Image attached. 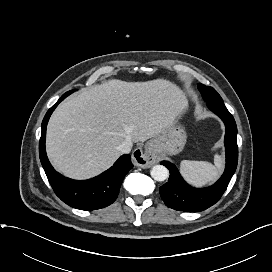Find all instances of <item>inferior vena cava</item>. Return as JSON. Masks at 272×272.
Masks as SVG:
<instances>
[{"label": "inferior vena cava", "instance_id": "1", "mask_svg": "<svg viewBox=\"0 0 272 272\" xmlns=\"http://www.w3.org/2000/svg\"><path fill=\"white\" fill-rule=\"evenodd\" d=\"M132 141L131 140H124L118 147V151L121 154H128L130 153L131 149H132Z\"/></svg>", "mask_w": 272, "mask_h": 272}]
</instances>
